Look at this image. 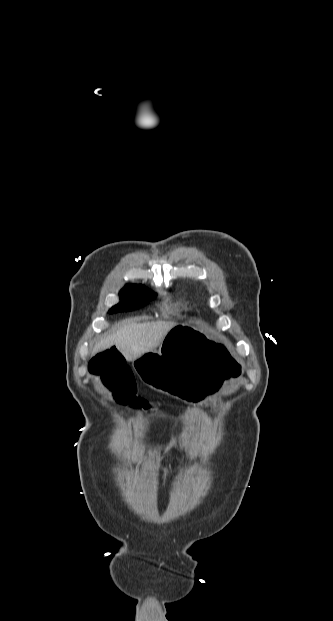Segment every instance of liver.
<instances>
[{"instance_id": "6515ba94", "label": "liver", "mask_w": 333, "mask_h": 621, "mask_svg": "<svg viewBox=\"0 0 333 621\" xmlns=\"http://www.w3.org/2000/svg\"><path fill=\"white\" fill-rule=\"evenodd\" d=\"M174 326V322L137 324L129 320L124 321L116 332L104 335L96 342L92 356L115 345L127 361H134L157 348Z\"/></svg>"}]
</instances>
